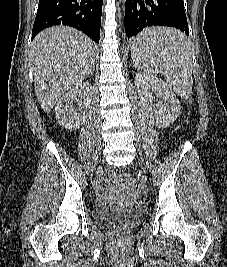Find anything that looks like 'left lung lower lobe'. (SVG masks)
Instances as JSON below:
<instances>
[{"mask_svg": "<svg viewBox=\"0 0 227 267\" xmlns=\"http://www.w3.org/2000/svg\"><path fill=\"white\" fill-rule=\"evenodd\" d=\"M175 27L189 35L183 0H126L125 32L127 37H134L150 26ZM138 36L132 39L138 42ZM163 47L172 45L171 41L160 43Z\"/></svg>", "mask_w": 227, "mask_h": 267, "instance_id": "0a47b994", "label": "left lung lower lobe"}]
</instances>
